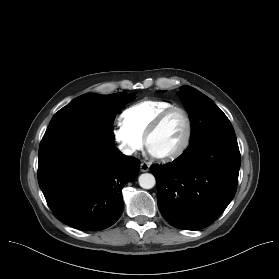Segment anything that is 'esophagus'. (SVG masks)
<instances>
[{"label":"esophagus","instance_id":"1","mask_svg":"<svg viewBox=\"0 0 279 279\" xmlns=\"http://www.w3.org/2000/svg\"><path fill=\"white\" fill-rule=\"evenodd\" d=\"M150 168V164L146 161L141 162L140 164V170L141 172H147Z\"/></svg>","mask_w":279,"mask_h":279}]
</instances>
